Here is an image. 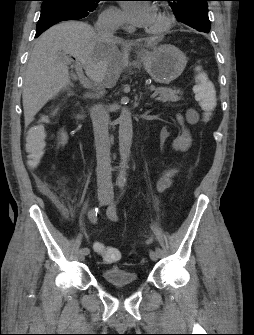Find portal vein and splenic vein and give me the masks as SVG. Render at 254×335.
<instances>
[{"label": "portal vein and splenic vein", "instance_id": "obj_1", "mask_svg": "<svg viewBox=\"0 0 254 335\" xmlns=\"http://www.w3.org/2000/svg\"><path fill=\"white\" fill-rule=\"evenodd\" d=\"M71 60L68 61V63H70ZM74 68L76 70V73L79 77V81L81 83V85L87 89H91L92 88V82L84 75V72H83V65L80 61L76 60L75 63H74ZM158 95V92H154L152 95H151V98L154 99L155 97H157Z\"/></svg>", "mask_w": 254, "mask_h": 335}]
</instances>
